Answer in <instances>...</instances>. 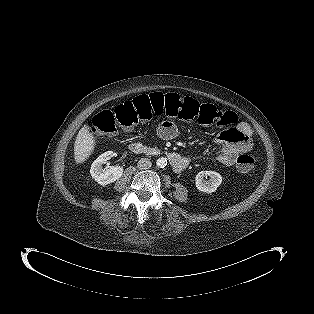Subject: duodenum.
Listing matches in <instances>:
<instances>
[{"label": "duodenum", "instance_id": "duodenum-1", "mask_svg": "<svg viewBox=\"0 0 314 314\" xmlns=\"http://www.w3.org/2000/svg\"><path fill=\"white\" fill-rule=\"evenodd\" d=\"M129 149L134 154H151L153 150L142 142H133L130 144ZM167 158L171 168L176 172L183 171L189 164V160L178 153L169 152Z\"/></svg>", "mask_w": 314, "mask_h": 314}]
</instances>
